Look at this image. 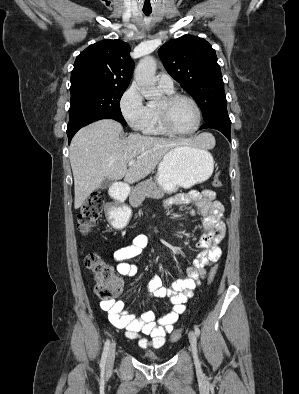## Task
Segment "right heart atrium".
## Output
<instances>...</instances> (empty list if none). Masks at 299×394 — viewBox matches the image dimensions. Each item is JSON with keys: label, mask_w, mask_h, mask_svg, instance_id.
Instances as JSON below:
<instances>
[{"label": "right heart atrium", "mask_w": 299, "mask_h": 394, "mask_svg": "<svg viewBox=\"0 0 299 394\" xmlns=\"http://www.w3.org/2000/svg\"><path fill=\"white\" fill-rule=\"evenodd\" d=\"M120 108L124 119L132 129H144L149 116V108L135 84L129 86L124 92L120 101Z\"/></svg>", "instance_id": "right-heart-atrium-1"}]
</instances>
